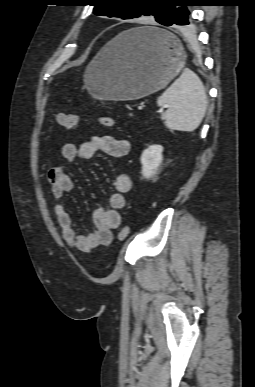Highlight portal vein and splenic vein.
<instances>
[{"label":"portal vein and splenic vein","instance_id":"portal-vein-and-splenic-vein-1","mask_svg":"<svg viewBox=\"0 0 255 387\" xmlns=\"http://www.w3.org/2000/svg\"><path fill=\"white\" fill-rule=\"evenodd\" d=\"M167 107H169V106L168 105H164V106H162L161 109H164V108H167Z\"/></svg>","mask_w":255,"mask_h":387}]
</instances>
